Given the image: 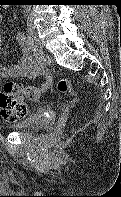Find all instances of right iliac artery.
<instances>
[{
  "instance_id": "obj_1",
  "label": "right iliac artery",
  "mask_w": 121,
  "mask_h": 197,
  "mask_svg": "<svg viewBox=\"0 0 121 197\" xmlns=\"http://www.w3.org/2000/svg\"><path fill=\"white\" fill-rule=\"evenodd\" d=\"M27 39H28L30 45L32 46L33 51H34V52L36 53V55L39 57L40 62L43 63V62L45 61V59H44V57L42 56V53H41V51L38 49L37 45L34 43L33 38H32L30 35H28V36H27Z\"/></svg>"
}]
</instances>
